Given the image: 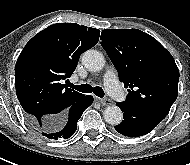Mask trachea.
I'll return each instance as SVG.
<instances>
[{
    "label": "trachea",
    "mask_w": 190,
    "mask_h": 165,
    "mask_svg": "<svg viewBox=\"0 0 190 165\" xmlns=\"http://www.w3.org/2000/svg\"><path fill=\"white\" fill-rule=\"evenodd\" d=\"M69 87L82 92V93H94L96 96L102 98L104 97V91L101 87L96 86V87H92L89 84H81V85H73V84H69Z\"/></svg>",
    "instance_id": "1"
}]
</instances>
